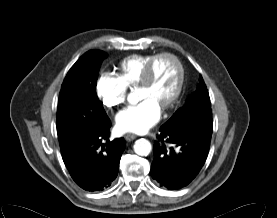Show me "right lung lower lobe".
Here are the masks:
<instances>
[{"mask_svg": "<svg viewBox=\"0 0 277 218\" xmlns=\"http://www.w3.org/2000/svg\"><path fill=\"white\" fill-rule=\"evenodd\" d=\"M109 118L93 134L78 141L62 158L77 185L87 191L109 187L116 178L121 155L126 147L123 138L110 141Z\"/></svg>", "mask_w": 277, "mask_h": 218, "instance_id": "right-lung-lower-lobe-1", "label": "right lung lower lobe"}]
</instances>
